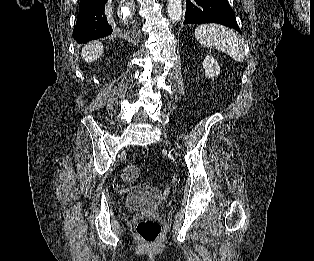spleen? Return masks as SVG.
I'll use <instances>...</instances> for the list:
<instances>
[{"label": "spleen", "instance_id": "spleen-1", "mask_svg": "<svg viewBox=\"0 0 314 261\" xmlns=\"http://www.w3.org/2000/svg\"><path fill=\"white\" fill-rule=\"evenodd\" d=\"M196 40L205 47L223 51L237 62L245 58L241 38L233 30L218 24H203L195 29Z\"/></svg>", "mask_w": 314, "mask_h": 261}]
</instances>
